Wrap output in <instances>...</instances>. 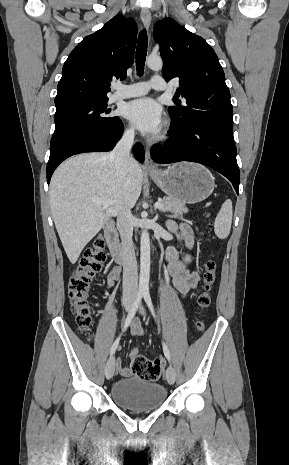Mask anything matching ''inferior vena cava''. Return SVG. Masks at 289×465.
<instances>
[{"instance_id":"obj_1","label":"inferior vena cava","mask_w":289,"mask_h":465,"mask_svg":"<svg viewBox=\"0 0 289 465\" xmlns=\"http://www.w3.org/2000/svg\"><path fill=\"white\" fill-rule=\"evenodd\" d=\"M134 130L129 129L124 132L115 148L110 153V160L118 171H124L127 162L130 160V151L134 143ZM133 216L128 207H123L117 214V228L122 241L123 259V300L132 301L137 295L138 273L137 261L132 240Z\"/></svg>"}]
</instances>
